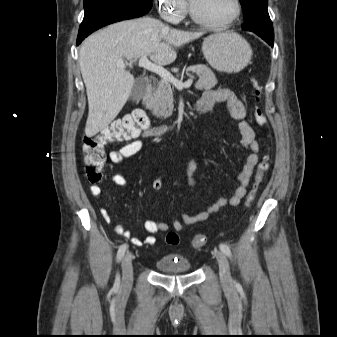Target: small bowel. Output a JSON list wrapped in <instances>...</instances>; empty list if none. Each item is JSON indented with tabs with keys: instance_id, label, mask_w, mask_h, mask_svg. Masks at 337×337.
<instances>
[{
	"instance_id": "obj_1",
	"label": "small bowel",
	"mask_w": 337,
	"mask_h": 337,
	"mask_svg": "<svg viewBox=\"0 0 337 337\" xmlns=\"http://www.w3.org/2000/svg\"><path fill=\"white\" fill-rule=\"evenodd\" d=\"M225 103L230 111L231 116L239 120V131L241 133V145L245 149L249 150L250 153L246 158L245 164L238 174L237 181L238 186L235 188L233 193L229 197H221L213 201L210 205L198 212L187 211L181 214V220L173 219L171 225L160 222L154 219H148L144 222V229L150 235L145 238H138L132 236L130 230L126 229L122 224H116L115 232L116 234L128 238L131 240L132 244L135 246L142 245H154L156 243V238L152 235L157 232H166L171 227L176 231H182L185 225L195 224L197 222L204 221L211 217L213 214L218 212L220 209L226 206H237L243 197L246 195L247 187L249 185L251 176L253 174L254 168L258 163V151L259 144L255 140V133L249 123L245 120L246 108L242 100L235 94V92L229 88H217L214 90L205 91L199 104L202 106H208L209 110L213 107L215 103ZM143 148V142L140 139L133 140L127 144L121 146L118 149L112 150L108 157L110 162L114 164L121 163L125 159L138 154ZM200 166V161L197 158H193L189 161L186 166V176L190 186L196 187L197 182L195 179V173ZM111 181L120 186L125 187L127 181L123 175L115 173L111 176ZM152 188L154 191H161L163 188L162 182L160 180H154L152 182ZM101 188L99 185H91L90 193L94 197H100ZM101 215L106 222H111L112 218L105 207H102Z\"/></svg>"
}]
</instances>
